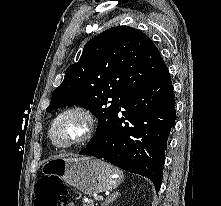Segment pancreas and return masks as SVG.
I'll return each mask as SVG.
<instances>
[{"label": "pancreas", "mask_w": 221, "mask_h": 206, "mask_svg": "<svg viewBox=\"0 0 221 206\" xmlns=\"http://www.w3.org/2000/svg\"><path fill=\"white\" fill-rule=\"evenodd\" d=\"M83 206H95L94 201H88L86 203H83Z\"/></svg>", "instance_id": "cf45deb5"}]
</instances>
